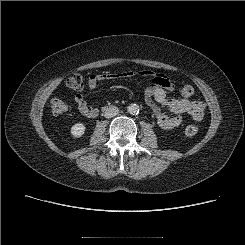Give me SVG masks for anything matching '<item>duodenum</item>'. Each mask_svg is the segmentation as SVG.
Returning <instances> with one entry per match:
<instances>
[{"label": "duodenum", "mask_w": 245, "mask_h": 245, "mask_svg": "<svg viewBox=\"0 0 245 245\" xmlns=\"http://www.w3.org/2000/svg\"><path fill=\"white\" fill-rule=\"evenodd\" d=\"M109 108H110L109 106H104L103 110H106V109H109Z\"/></svg>", "instance_id": "obj_1"}]
</instances>
